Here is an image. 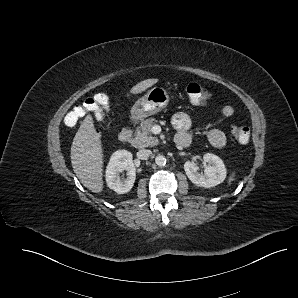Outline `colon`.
Here are the masks:
<instances>
[{
  "instance_id": "colon-1",
  "label": "colon",
  "mask_w": 298,
  "mask_h": 298,
  "mask_svg": "<svg viewBox=\"0 0 298 298\" xmlns=\"http://www.w3.org/2000/svg\"><path fill=\"white\" fill-rule=\"evenodd\" d=\"M191 103L196 105H205L211 99V92L204 86L197 83H190L186 89ZM109 107V101L106 94L100 93L85 99L82 103L75 106L65 117L68 125H75L81 119L91 114L97 119L105 116ZM233 137L242 144L248 143L250 139V129L247 125L238 124L232 127Z\"/></svg>"
}]
</instances>
